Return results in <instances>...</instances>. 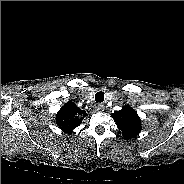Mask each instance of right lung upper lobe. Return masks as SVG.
Returning a JSON list of instances; mask_svg holds the SVG:
<instances>
[{
    "mask_svg": "<svg viewBox=\"0 0 184 184\" xmlns=\"http://www.w3.org/2000/svg\"><path fill=\"white\" fill-rule=\"evenodd\" d=\"M87 115L85 110H81L72 101L67 102L56 115V124L64 132H72L78 127L83 118Z\"/></svg>",
    "mask_w": 184,
    "mask_h": 184,
    "instance_id": "right-lung-upper-lobe-1",
    "label": "right lung upper lobe"
}]
</instances>
